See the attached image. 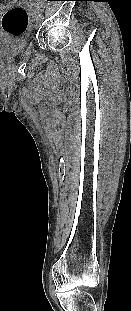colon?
Returning <instances> with one entry per match:
<instances>
[{"label":"colon","mask_w":131,"mask_h":311,"mask_svg":"<svg viewBox=\"0 0 131 311\" xmlns=\"http://www.w3.org/2000/svg\"><path fill=\"white\" fill-rule=\"evenodd\" d=\"M1 26L4 32L11 35H21L28 27V14L21 7H14L8 10L1 19Z\"/></svg>","instance_id":"1"}]
</instances>
